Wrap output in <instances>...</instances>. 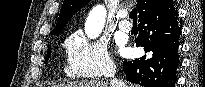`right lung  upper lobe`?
<instances>
[{
  "label": "right lung upper lobe",
  "instance_id": "right-lung-upper-lobe-1",
  "mask_svg": "<svg viewBox=\"0 0 205 87\" xmlns=\"http://www.w3.org/2000/svg\"><path fill=\"white\" fill-rule=\"evenodd\" d=\"M89 1L90 0H64L57 25L51 33L58 35L64 29V26L71 19V17L78 10L83 8ZM161 1L162 0H137L136 7L139 17Z\"/></svg>",
  "mask_w": 205,
  "mask_h": 87
}]
</instances>
